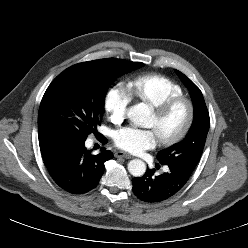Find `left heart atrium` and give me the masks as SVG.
<instances>
[{
	"instance_id": "left-heart-atrium-1",
	"label": "left heart atrium",
	"mask_w": 248,
	"mask_h": 248,
	"mask_svg": "<svg viewBox=\"0 0 248 248\" xmlns=\"http://www.w3.org/2000/svg\"><path fill=\"white\" fill-rule=\"evenodd\" d=\"M159 138L154 129L124 127L115 135V144L128 152L139 153L156 146Z\"/></svg>"
}]
</instances>
